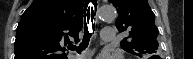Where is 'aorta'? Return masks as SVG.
<instances>
[{
  "label": "aorta",
  "mask_w": 193,
  "mask_h": 59,
  "mask_svg": "<svg viewBox=\"0 0 193 59\" xmlns=\"http://www.w3.org/2000/svg\"><path fill=\"white\" fill-rule=\"evenodd\" d=\"M98 17L105 22L113 21L117 17V11L112 5H103L98 10Z\"/></svg>",
  "instance_id": "obj_1"
}]
</instances>
